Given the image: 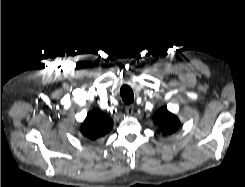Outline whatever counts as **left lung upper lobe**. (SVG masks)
I'll list each match as a JSON object with an SVG mask.
<instances>
[{"label":"left lung upper lobe","mask_w":245,"mask_h":187,"mask_svg":"<svg viewBox=\"0 0 245 187\" xmlns=\"http://www.w3.org/2000/svg\"><path fill=\"white\" fill-rule=\"evenodd\" d=\"M154 123L158 125L162 134H172L180 126L179 119L166 108L159 109L153 116Z\"/></svg>","instance_id":"left-lung-upper-lobe-1"}]
</instances>
